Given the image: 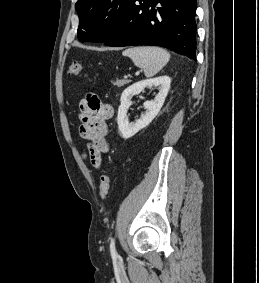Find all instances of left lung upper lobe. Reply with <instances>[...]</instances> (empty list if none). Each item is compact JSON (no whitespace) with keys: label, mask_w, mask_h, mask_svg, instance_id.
Returning <instances> with one entry per match:
<instances>
[{"label":"left lung upper lobe","mask_w":259,"mask_h":283,"mask_svg":"<svg viewBox=\"0 0 259 283\" xmlns=\"http://www.w3.org/2000/svg\"><path fill=\"white\" fill-rule=\"evenodd\" d=\"M132 0H78V39L104 42L112 36L126 15Z\"/></svg>","instance_id":"obj_1"}]
</instances>
